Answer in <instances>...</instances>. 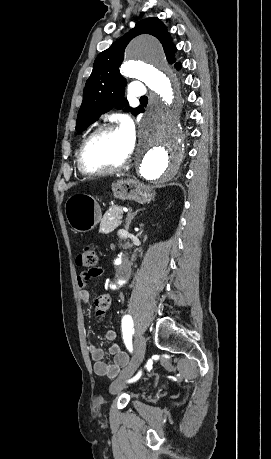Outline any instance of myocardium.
<instances>
[{"label": "myocardium", "instance_id": "f54148a6", "mask_svg": "<svg viewBox=\"0 0 271 459\" xmlns=\"http://www.w3.org/2000/svg\"><path fill=\"white\" fill-rule=\"evenodd\" d=\"M120 130L119 125L115 122L107 123L104 124L91 133H89L81 142L78 151H77V162L79 167L83 172L89 175L93 174H100V173H105V172H113L120 170L123 168L125 164L128 163L132 156V151L125 156L123 159L113 162V163H104V164H99V165H92L86 160L85 156V151L88 146V144L97 136L105 134V133H111V132H116Z\"/></svg>", "mask_w": 271, "mask_h": 459}]
</instances>
